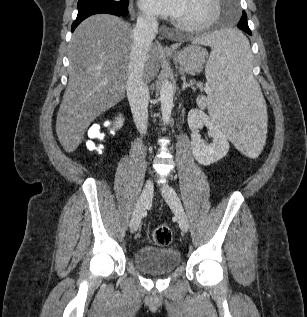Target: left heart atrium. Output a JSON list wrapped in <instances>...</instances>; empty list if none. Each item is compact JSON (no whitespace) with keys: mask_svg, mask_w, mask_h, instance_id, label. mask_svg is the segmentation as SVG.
<instances>
[{"mask_svg":"<svg viewBox=\"0 0 307 317\" xmlns=\"http://www.w3.org/2000/svg\"><path fill=\"white\" fill-rule=\"evenodd\" d=\"M187 0H139L146 13L162 17H178L184 10Z\"/></svg>","mask_w":307,"mask_h":317,"instance_id":"39dd6f15","label":"left heart atrium"}]
</instances>
